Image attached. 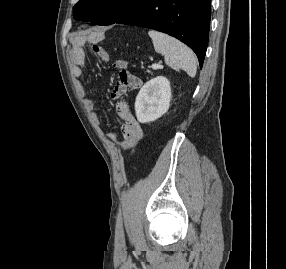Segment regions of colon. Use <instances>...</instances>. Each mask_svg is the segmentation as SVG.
Instances as JSON below:
<instances>
[{
  "label": "colon",
  "instance_id": "1",
  "mask_svg": "<svg viewBox=\"0 0 286 269\" xmlns=\"http://www.w3.org/2000/svg\"><path fill=\"white\" fill-rule=\"evenodd\" d=\"M93 49L97 52H101L102 48L94 44ZM128 66H131V61H126L121 59L117 61V65H115V70H119V82L116 83V88L119 90H123L124 88L127 91H132L133 88H141V78H136L128 71Z\"/></svg>",
  "mask_w": 286,
  "mask_h": 269
}]
</instances>
